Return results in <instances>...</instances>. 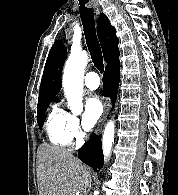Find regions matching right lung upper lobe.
I'll list each match as a JSON object with an SVG mask.
<instances>
[{
	"mask_svg": "<svg viewBox=\"0 0 178 195\" xmlns=\"http://www.w3.org/2000/svg\"><path fill=\"white\" fill-rule=\"evenodd\" d=\"M97 33L101 43L106 68L120 64L118 38L115 28L110 24L105 14L101 13L97 22ZM67 51L61 41H56L52 46L41 80L38 105L51 102L62 87V69Z\"/></svg>",
	"mask_w": 178,
	"mask_h": 195,
	"instance_id": "1",
	"label": "right lung upper lobe"
}]
</instances>
